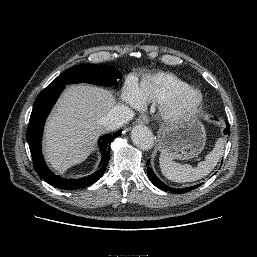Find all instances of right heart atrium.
<instances>
[{"label":"right heart atrium","instance_id":"obj_1","mask_svg":"<svg viewBox=\"0 0 257 257\" xmlns=\"http://www.w3.org/2000/svg\"><path fill=\"white\" fill-rule=\"evenodd\" d=\"M123 99L133 105V106H137L140 105L139 102L137 101L136 97H135V93H134V84L133 83H129L124 90L123 93Z\"/></svg>","mask_w":257,"mask_h":257}]
</instances>
